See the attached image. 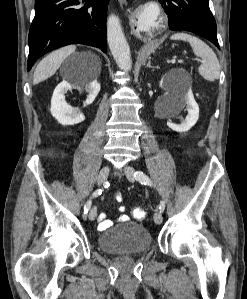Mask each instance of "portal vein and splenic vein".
Here are the masks:
<instances>
[{
	"label": "portal vein and splenic vein",
	"instance_id": "obj_1",
	"mask_svg": "<svg viewBox=\"0 0 247 299\" xmlns=\"http://www.w3.org/2000/svg\"><path fill=\"white\" fill-rule=\"evenodd\" d=\"M171 62H172V63H175V59H173Z\"/></svg>",
	"mask_w": 247,
	"mask_h": 299
}]
</instances>
